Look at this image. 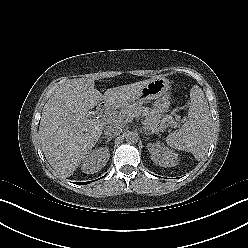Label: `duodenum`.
<instances>
[{
    "label": "duodenum",
    "mask_w": 248,
    "mask_h": 248,
    "mask_svg": "<svg viewBox=\"0 0 248 248\" xmlns=\"http://www.w3.org/2000/svg\"><path fill=\"white\" fill-rule=\"evenodd\" d=\"M110 107H111V104L110 103H108V102H103L100 106H99V108H98V110H99V112H107L109 109H110Z\"/></svg>",
    "instance_id": "duodenum-1"
}]
</instances>
